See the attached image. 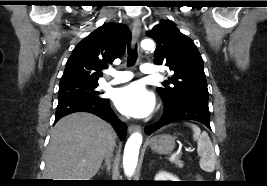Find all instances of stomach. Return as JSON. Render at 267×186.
<instances>
[{
    "instance_id": "0dacf381",
    "label": "stomach",
    "mask_w": 267,
    "mask_h": 186,
    "mask_svg": "<svg viewBox=\"0 0 267 186\" xmlns=\"http://www.w3.org/2000/svg\"><path fill=\"white\" fill-rule=\"evenodd\" d=\"M148 145L152 151L160 154H169L175 148V138L169 134H162L152 137L148 141Z\"/></svg>"
}]
</instances>
